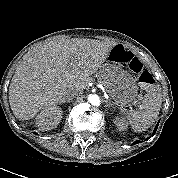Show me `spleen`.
<instances>
[{"label":"spleen","mask_w":178,"mask_h":178,"mask_svg":"<svg viewBox=\"0 0 178 178\" xmlns=\"http://www.w3.org/2000/svg\"><path fill=\"white\" fill-rule=\"evenodd\" d=\"M161 104V88L158 84H151L139 108L127 112L132 129L142 132L152 126L159 115Z\"/></svg>","instance_id":"1"}]
</instances>
